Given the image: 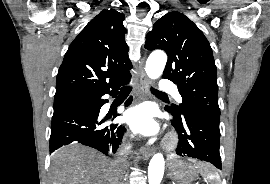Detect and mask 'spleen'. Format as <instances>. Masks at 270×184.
Masks as SVG:
<instances>
[{
    "label": "spleen",
    "instance_id": "1",
    "mask_svg": "<svg viewBox=\"0 0 270 184\" xmlns=\"http://www.w3.org/2000/svg\"><path fill=\"white\" fill-rule=\"evenodd\" d=\"M198 169L203 177H205L210 184H220V176L218 173L214 172L209 165L200 164Z\"/></svg>",
    "mask_w": 270,
    "mask_h": 184
}]
</instances>
